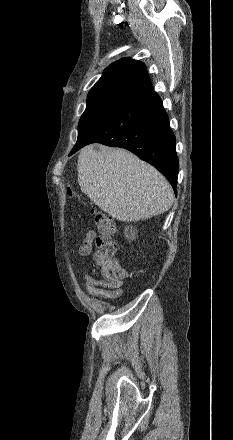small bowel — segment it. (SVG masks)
Returning a JSON list of instances; mask_svg holds the SVG:
<instances>
[{"label":"small bowel","instance_id":"c3829d8e","mask_svg":"<svg viewBox=\"0 0 233 440\" xmlns=\"http://www.w3.org/2000/svg\"><path fill=\"white\" fill-rule=\"evenodd\" d=\"M95 240L96 233L94 231H88L85 234L83 242L78 247L79 255L88 256L92 251ZM85 288L90 295L103 299H116L123 293L122 282L116 286H112L107 279H96L88 272L85 273Z\"/></svg>","mask_w":233,"mask_h":440}]
</instances>
